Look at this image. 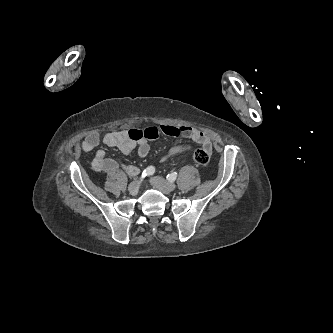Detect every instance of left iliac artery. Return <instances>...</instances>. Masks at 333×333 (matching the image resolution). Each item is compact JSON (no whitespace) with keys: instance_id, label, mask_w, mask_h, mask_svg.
Here are the masks:
<instances>
[{"instance_id":"left-iliac-artery-1","label":"left iliac artery","mask_w":333,"mask_h":333,"mask_svg":"<svg viewBox=\"0 0 333 333\" xmlns=\"http://www.w3.org/2000/svg\"><path fill=\"white\" fill-rule=\"evenodd\" d=\"M167 178H168V180L169 181H175L176 180V178H177V172H172L171 174H168L167 175Z\"/></svg>"}]
</instances>
